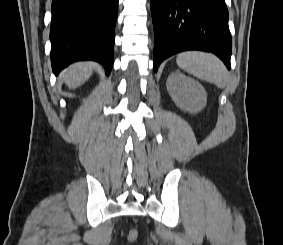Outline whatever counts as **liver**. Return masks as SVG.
I'll use <instances>...</instances> for the list:
<instances>
[{
	"instance_id": "6515ba94",
	"label": "liver",
	"mask_w": 283,
	"mask_h": 245,
	"mask_svg": "<svg viewBox=\"0 0 283 245\" xmlns=\"http://www.w3.org/2000/svg\"><path fill=\"white\" fill-rule=\"evenodd\" d=\"M95 64L90 62L75 63L63 73V79L70 89H75L85 83L92 75Z\"/></svg>"
}]
</instances>
